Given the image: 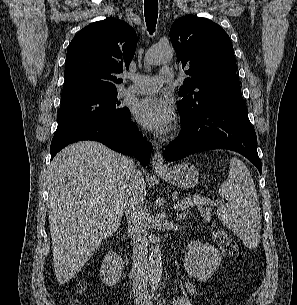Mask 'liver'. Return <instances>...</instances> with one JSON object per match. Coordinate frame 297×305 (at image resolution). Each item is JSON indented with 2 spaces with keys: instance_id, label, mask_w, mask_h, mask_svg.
<instances>
[{
  "instance_id": "obj_1",
  "label": "liver",
  "mask_w": 297,
  "mask_h": 305,
  "mask_svg": "<svg viewBox=\"0 0 297 305\" xmlns=\"http://www.w3.org/2000/svg\"><path fill=\"white\" fill-rule=\"evenodd\" d=\"M128 161L101 143L81 141L61 150L49 165L48 218L60 284L70 281L118 229ZM139 188L144 197L143 177Z\"/></svg>"
}]
</instances>
